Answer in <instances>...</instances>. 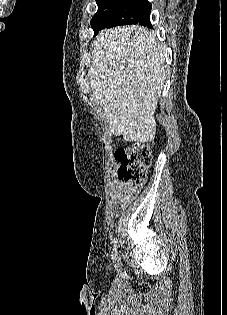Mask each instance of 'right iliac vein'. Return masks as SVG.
<instances>
[{"label": "right iliac vein", "mask_w": 227, "mask_h": 315, "mask_svg": "<svg viewBox=\"0 0 227 315\" xmlns=\"http://www.w3.org/2000/svg\"><path fill=\"white\" fill-rule=\"evenodd\" d=\"M112 262L115 267H118L120 264V255L118 251H114L112 254Z\"/></svg>", "instance_id": "1"}]
</instances>
